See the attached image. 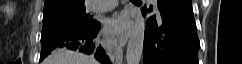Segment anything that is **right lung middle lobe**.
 Masks as SVG:
<instances>
[{"mask_svg": "<svg viewBox=\"0 0 242 64\" xmlns=\"http://www.w3.org/2000/svg\"><path fill=\"white\" fill-rule=\"evenodd\" d=\"M85 6L44 13L41 35L42 50L52 43L95 30L100 24L85 13Z\"/></svg>", "mask_w": 242, "mask_h": 64, "instance_id": "dd1d6c3e", "label": "right lung middle lobe"}]
</instances>
